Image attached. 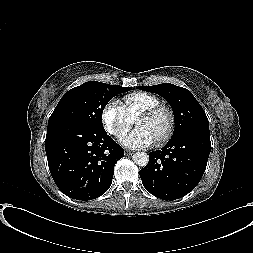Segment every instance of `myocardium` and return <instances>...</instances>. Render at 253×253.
<instances>
[{
  "label": "myocardium",
  "mask_w": 253,
  "mask_h": 253,
  "mask_svg": "<svg viewBox=\"0 0 253 253\" xmlns=\"http://www.w3.org/2000/svg\"><path fill=\"white\" fill-rule=\"evenodd\" d=\"M160 113H166L168 116V126L163 135L158 139L157 144L162 145L166 143L173 135L176 125V117L173 110L163 104H159L150 108H147L139 113V117H154Z\"/></svg>",
  "instance_id": "f54148a6"
}]
</instances>
